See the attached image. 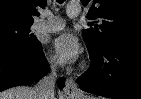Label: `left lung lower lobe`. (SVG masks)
Segmentation results:
<instances>
[{
  "label": "left lung lower lobe",
  "instance_id": "0a47b994",
  "mask_svg": "<svg viewBox=\"0 0 141 99\" xmlns=\"http://www.w3.org/2000/svg\"><path fill=\"white\" fill-rule=\"evenodd\" d=\"M89 70L77 79L83 91L112 99H141V44L116 42L90 51Z\"/></svg>",
  "mask_w": 141,
  "mask_h": 99
}]
</instances>
